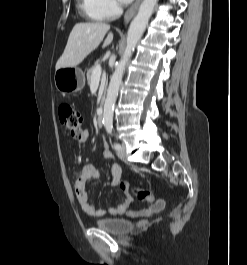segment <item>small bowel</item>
<instances>
[{
    "instance_id": "1",
    "label": "small bowel",
    "mask_w": 247,
    "mask_h": 265,
    "mask_svg": "<svg viewBox=\"0 0 247 265\" xmlns=\"http://www.w3.org/2000/svg\"><path fill=\"white\" fill-rule=\"evenodd\" d=\"M88 139V132L84 131L79 141L81 143L86 142ZM102 156L106 159H113V153L105 145ZM99 177V172L94 164H86L82 166L78 177L74 182L75 195L77 197L78 203L81 209L89 215L92 216H103L105 214L110 215H124L127 214L130 217H146L154 213L160 212L164 207V202L162 200L156 201L149 208L142 209L140 211H130L132 205V199L127 196L124 200L117 206L109 207L107 210L99 209L93 206L89 200L87 185L90 181L97 180ZM121 180V168L118 164L112 163L110 166V186H116ZM122 183V182H121Z\"/></svg>"
}]
</instances>
